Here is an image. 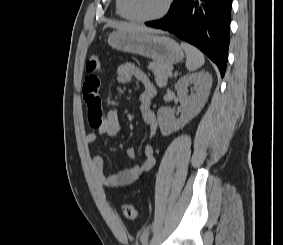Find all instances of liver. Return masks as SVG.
I'll return each instance as SVG.
<instances>
[{
  "label": "liver",
  "mask_w": 283,
  "mask_h": 245,
  "mask_svg": "<svg viewBox=\"0 0 283 245\" xmlns=\"http://www.w3.org/2000/svg\"><path fill=\"white\" fill-rule=\"evenodd\" d=\"M106 27H112L120 31H129V32H154L151 29H148L146 27L138 26L131 23H117V22H110L108 23L104 28Z\"/></svg>",
  "instance_id": "6515ba94"
}]
</instances>
